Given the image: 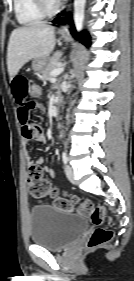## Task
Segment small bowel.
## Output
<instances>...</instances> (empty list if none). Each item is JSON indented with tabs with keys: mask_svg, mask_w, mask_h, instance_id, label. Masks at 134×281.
Listing matches in <instances>:
<instances>
[{
	"mask_svg": "<svg viewBox=\"0 0 134 281\" xmlns=\"http://www.w3.org/2000/svg\"><path fill=\"white\" fill-rule=\"evenodd\" d=\"M29 79L22 74L15 75L11 80V91L18 105L17 115L22 126V135L26 141L45 143L46 138L40 131L39 127L30 122V111L35 108L36 104L29 95ZM27 165L40 166L43 159L39 156L32 158L28 153L25 155ZM44 171L50 176H55V171L50 167H45Z\"/></svg>",
	"mask_w": 134,
	"mask_h": 281,
	"instance_id": "c3829d8e",
	"label": "small bowel"
}]
</instances>
